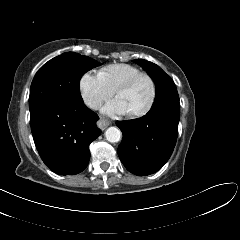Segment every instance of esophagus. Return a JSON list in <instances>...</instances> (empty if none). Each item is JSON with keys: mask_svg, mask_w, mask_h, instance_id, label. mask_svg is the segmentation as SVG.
<instances>
[{"mask_svg": "<svg viewBox=\"0 0 240 240\" xmlns=\"http://www.w3.org/2000/svg\"><path fill=\"white\" fill-rule=\"evenodd\" d=\"M110 125V122L106 119L100 118L99 121L97 122V126L101 129L104 130Z\"/></svg>", "mask_w": 240, "mask_h": 240, "instance_id": "1", "label": "esophagus"}]
</instances>
